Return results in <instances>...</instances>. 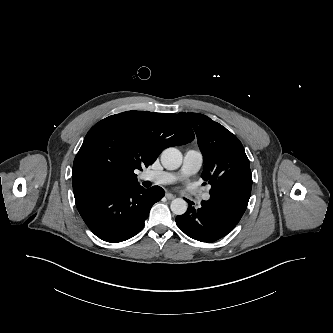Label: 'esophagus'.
<instances>
[{"instance_id":"obj_1","label":"esophagus","mask_w":333,"mask_h":333,"mask_svg":"<svg viewBox=\"0 0 333 333\" xmlns=\"http://www.w3.org/2000/svg\"><path fill=\"white\" fill-rule=\"evenodd\" d=\"M165 197H166L168 200H172V199L175 198V196H174L173 194L169 193V192H167V193L165 194Z\"/></svg>"}]
</instances>
